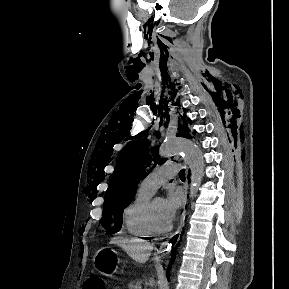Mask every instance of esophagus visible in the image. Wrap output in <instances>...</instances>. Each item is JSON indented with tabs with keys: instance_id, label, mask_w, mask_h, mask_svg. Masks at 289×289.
I'll return each mask as SVG.
<instances>
[{
	"instance_id": "obj_1",
	"label": "esophagus",
	"mask_w": 289,
	"mask_h": 289,
	"mask_svg": "<svg viewBox=\"0 0 289 289\" xmlns=\"http://www.w3.org/2000/svg\"><path fill=\"white\" fill-rule=\"evenodd\" d=\"M188 185H189V170L186 169V181L184 183V201H183V211L181 214V220L178 229L161 245L159 246L157 253L163 256L169 249L175 246L182 234L183 227L185 224V216H186V204H187V194H188Z\"/></svg>"
}]
</instances>
